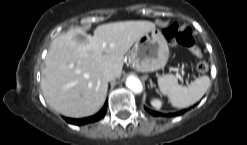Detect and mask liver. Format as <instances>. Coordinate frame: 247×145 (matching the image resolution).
I'll return each instance as SVG.
<instances>
[{"instance_id": "1", "label": "liver", "mask_w": 247, "mask_h": 145, "mask_svg": "<svg viewBox=\"0 0 247 145\" xmlns=\"http://www.w3.org/2000/svg\"><path fill=\"white\" fill-rule=\"evenodd\" d=\"M154 28L150 21H123L99 25L93 35L77 28L56 37L42 71L41 89L47 104L67 117L95 114L108 90L103 70L111 69L119 78L124 54Z\"/></svg>"}]
</instances>
